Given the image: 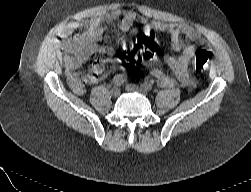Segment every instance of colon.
I'll use <instances>...</instances> for the list:
<instances>
[{
    "label": "colon",
    "instance_id": "obj_1",
    "mask_svg": "<svg viewBox=\"0 0 251 192\" xmlns=\"http://www.w3.org/2000/svg\"><path fill=\"white\" fill-rule=\"evenodd\" d=\"M158 52V40L151 33H142L131 46L124 47L118 55V62L122 69H131L139 62L149 61L156 57ZM211 53L200 50L196 55V69L203 71L208 68L211 61Z\"/></svg>",
    "mask_w": 251,
    "mask_h": 192
}]
</instances>
